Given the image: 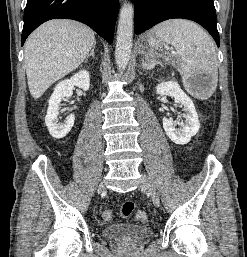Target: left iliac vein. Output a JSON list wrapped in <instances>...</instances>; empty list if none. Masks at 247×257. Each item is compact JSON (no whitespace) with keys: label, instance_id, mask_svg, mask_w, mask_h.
<instances>
[{"label":"left iliac vein","instance_id":"obj_1","mask_svg":"<svg viewBox=\"0 0 247 257\" xmlns=\"http://www.w3.org/2000/svg\"><path fill=\"white\" fill-rule=\"evenodd\" d=\"M141 186L148 191V193L150 194L151 199L153 201V204L156 207H159L160 199H159L158 193H157L153 183L146 175L141 176Z\"/></svg>","mask_w":247,"mask_h":257}]
</instances>
